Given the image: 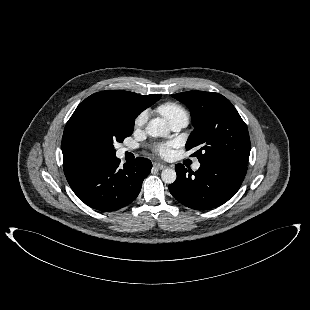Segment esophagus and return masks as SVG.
Here are the masks:
<instances>
[{"instance_id": "34e87169", "label": "esophagus", "mask_w": 310, "mask_h": 310, "mask_svg": "<svg viewBox=\"0 0 310 310\" xmlns=\"http://www.w3.org/2000/svg\"><path fill=\"white\" fill-rule=\"evenodd\" d=\"M154 167H156L159 170H163L166 168V165L160 164V163H154Z\"/></svg>"}]
</instances>
